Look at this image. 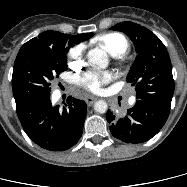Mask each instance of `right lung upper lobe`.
Masks as SVG:
<instances>
[{"instance_id": "obj_1", "label": "right lung upper lobe", "mask_w": 187, "mask_h": 187, "mask_svg": "<svg viewBox=\"0 0 187 187\" xmlns=\"http://www.w3.org/2000/svg\"><path fill=\"white\" fill-rule=\"evenodd\" d=\"M92 36V33H83L78 35L70 36L63 34L58 31H45L39 34L37 38H33L25 43V45L37 44L46 47H67L69 45L74 46L75 44L85 41Z\"/></svg>"}]
</instances>
